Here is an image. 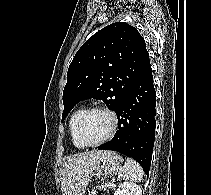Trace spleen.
I'll list each match as a JSON object with an SVG mask.
<instances>
[{
    "label": "spleen",
    "mask_w": 211,
    "mask_h": 195,
    "mask_svg": "<svg viewBox=\"0 0 211 195\" xmlns=\"http://www.w3.org/2000/svg\"><path fill=\"white\" fill-rule=\"evenodd\" d=\"M120 176L124 180L140 182L143 177V169L131 158H127L125 165L120 169Z\"/></svg>",
    "instance_id": "spleen-1"
}]
</instances>
